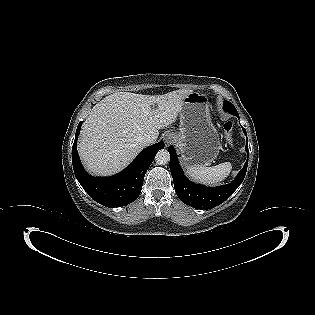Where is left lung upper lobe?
<instances>
[{"mask_svg":"<svg viewBox=\"0 0 315 315\" xmlns=\"http://www.w3.org/2000/svg\"><path fill=\"white\" fill-rule=\"evenodd\" d=\"M224 110L232 115H238V112L236 110V108L234 107V105L229 102V101H225L224 102Z\"/></svg>","mask_w":315,"mask_h":315,"instance_id":"5c2ea615","label":"left lung upper lobe"}]
</instances>
